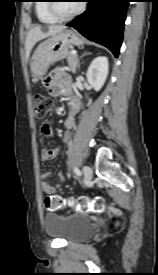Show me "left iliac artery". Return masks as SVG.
I'll list each match as a JSON object with an SVG mask.
<instances>
[{"label":"left iliac artery","instance_id":"1","mask_svg":"<svg viewBox=\"0 0 158 275\" xmlns=\"http://www.w3.org/2000/svg\"><path fill=\"white\" fill-rule=\"evenodd\" d=\"M74 172H75V174H76L77 176H80V175H81V172H80V170H79L77 167L74 168Z\"/></svg>","mask_w":158,"mask_h":275}]
</instances>
